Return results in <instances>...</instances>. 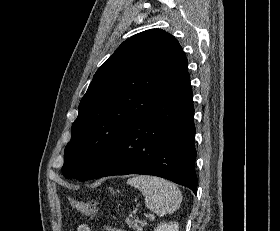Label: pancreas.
Wrapping results in <instances>:
<instances>
[{"instance_id":"obj_1","label":"pancreas","mask_w":280,"mask_h":231,"mask_svg":"<svg viewBox=\"0 0 280 231\" xmlns=\"http://www.w3.org/2000/svg\"><path fill=\"white\" fill-rule=\"evenodd\" d=\"M126 223L130 225V227H133V229H137V231H142L143 225H147L146 221L144 219H130V217H126Z\"/></svg>"}]
</instances>
